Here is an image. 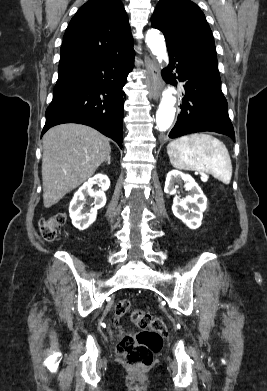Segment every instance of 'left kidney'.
I'll list each match as a JSON object with an SVG mask.
<instances>
[{
    "label": "left kidney",
    "instance_id": "5707ae66",
    "mask_svg": "<svg viewBox=\"0 0 267 391\" xmlns=\"http://www.w3.org/2000/svg\"><path fill=\"white\" fill-rule=\"evenodd\" d=\"M179 180L184 181V187L190 191V195L184 199L177 196V186ZM164 191L166 194L174 195L172 211L173 214L190 229H197L201 225L203 212L207 207V198L195 180L189 175L178 170H171L166 177Z\"/></svg>",
    "mask_w": 267,
    "mask_h": 391
}]
</instances>
